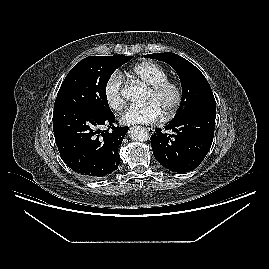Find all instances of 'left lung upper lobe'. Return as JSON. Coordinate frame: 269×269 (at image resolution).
<instances>
[{
  "label": "left lung upper lobe",
  "instance_id": "left-lung-upper-lobe-1",
  "mask_svg": "<svg viewBox=\"0 0 269 269\" xmlns=\"http://www.w3.org/2000/svg\"><path fill=\"white\" fill-rule=\"evenodd\" d=\"M168 63L177 72L182 85L180 107L172 121H177L203 105H216L211 87L201 71L183 57L172 53L145 55Z\"/></svg>",
  "mask_w": 269,
  "mask_h": 269
}]
</instances>
